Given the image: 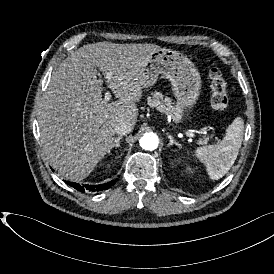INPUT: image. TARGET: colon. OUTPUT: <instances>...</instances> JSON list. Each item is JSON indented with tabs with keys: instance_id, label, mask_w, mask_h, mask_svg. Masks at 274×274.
<instances>
[{
	"instance_id": "obj_1",
	"label": "colon",
	"mask_w": 274,
	"mask_h": 274,
	"mask_svg": "<svg viewBox=\"0 0 274 274\" xmlns=\"http://www.w3.org/2000/svg\"><path fill=\"white\" fill-rule=\"evenodd\" d=\"M208 80L211 87L210 105L216 111H223L229 106L230 97L228 86L221 70L215 66L210 67Z\"/></svg>"
}]
</instances>
